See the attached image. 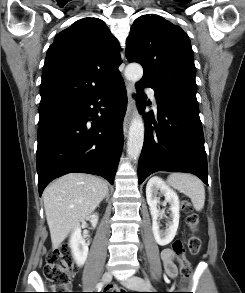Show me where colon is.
<instances>
[{
    "instance_id": "obj_1",
    "label": "colon",
    "mask_w": 245,
    "mask_h": 293,
    "mask_svg": "<svg viewBox=\"0 0 245 293\" xmlns=\"http://www.w3.org/2000/svg\"><path fill=\"white\" fill-rule=\"evenodd\" d=\"M181 207L185 214L186 224L191 231L188 248L190 253L195 255L199 253L201 248V239L197 235L199 219L188 201L182 202ZM173 252L181 264V279L183 282H187L191 277V266L185 257V248L181 241H176L173 244ZM43 272L49 286L59 291L56 293H71L69 291L75 274V263L70 248L62 247L53 250L46 258Z\"/></svg>"
}]
</instances>
